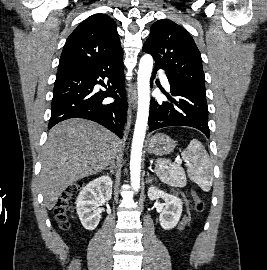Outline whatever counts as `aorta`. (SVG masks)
I'll return each instance as SVG.
<instances>
[{"label": "aorta", "mask_w": 267, "mask_h": 270, "mask_svg": "<svg viewBox=\"0 0 267 270\" xmlns=\"http://www.w3.org/2000/svg\"><path fill=\"white\" fill-rule=\"evenodd\" d=\"M152 68L153 57L149 54L144 55L138 69V108L130 159L131 185L135 191L140 188L141 157L149 116Z\"/></svg>", "instance_id": "1"}]
</instances>
